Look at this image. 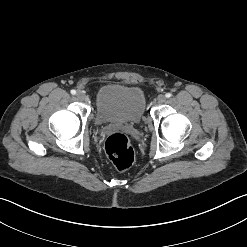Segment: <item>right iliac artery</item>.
Instances as JSON below:
<instances>
[{
  "instance_id": "obj_1",
  "label": "right iliac artery",
  "mask_w": 247,
  "mask_h": 247,
  "mask_svg": "<svg viewBox=\"0 0 247 247\" xmlns=\"http://www.w3.org/2000/svg\"><path fill=\"white\" fill-rule=\"evenodd\" d=\"M71 94H72V95H75V94H76V90H74V89L71 90Z\"/></svg>"
}]
</instances>
